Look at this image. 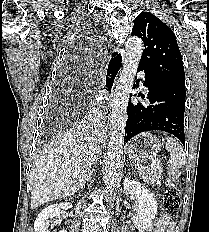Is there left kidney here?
<instances>
[{"label": "left kidney", "mask_w": 209, "mask_h": 232, "mask_svg": "<svg viewBox=\"0 0 209 232\" xmlns=\"http://www.w3.org/2000/svg\"><path fill=\"white\" fill-rule=\"evenodd\" d=\"M123 189L126 195H134L136 197L138 211L137 214L132 217V222L140 232H145L155 219L158 209L154 194L138 181L130 180L128 177L124 179Z\"/></svg>", "instance_id": "5707ae66"}]
</instances>
